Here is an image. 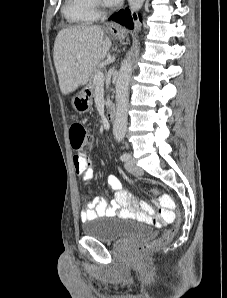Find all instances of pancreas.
I'll use <instances>...</instances> for the list:
<instances>
[{
    "label": "pancreas",
    "mask_w": 227,
    "mask_h": 298,
    "mask_svg": "<svg viewBox=\"0 0 227 298\" xmlns=\"http://www.w3.org/2000/svg\"><path fill=\"white\" fill-rule=\"evenodd\" d=\"M102 72L101 69H95L90 77V82H89V89L91 90L92 94L95 95L96 90H97V84L95 83V77L97 74ZM109 100V98H107Z\"/></svg>",
    "instance_id": "1"
}]
</instances>
